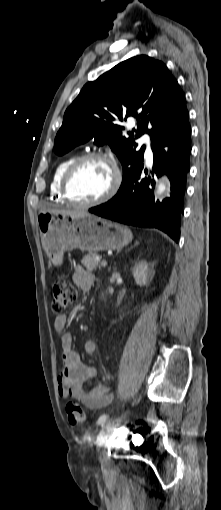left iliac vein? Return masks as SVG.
Instances as JSON below:
<instances>
[{"mask_svg":"<svg viewBox=\"0 0 221 510\" xmlns=\"http://www.w3.org/2000/svg\"><path fill=\"white\" fill-rule=\"evenodd\" d=\"M120 422L121 419L107 421L100 432L99 440L101 442L106 441L111 436L113 430L119 425Z\"/></svg>","mask_w":221,"mask_h":510,"instance_id":"left-iliac-vein-1","label":"left iliac vein"}]
</instances>
